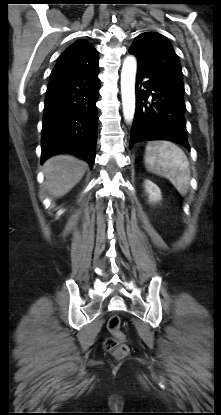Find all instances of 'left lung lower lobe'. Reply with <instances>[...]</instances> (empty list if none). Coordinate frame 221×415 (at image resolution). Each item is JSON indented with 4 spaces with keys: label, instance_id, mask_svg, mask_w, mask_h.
Wrapping results in <instances>:
<instances>
[{
    "label": "left lung lower lobe",
    "instance_id": "obj_1",
    "mask_svg": "<svg viewBox=\"0 0 221 415\" xmlns=\"http://www.w3.org/2000/svg\"><path fill=\"white\" fill-rule=\"evenodd\" d=\"M185 111L184 90L138 68L136 111L129 147L141 141L168 140L190 149Z\"/></svg>",
    "mask_w": 221,
    "mask_h": 415
}]
</instances>
